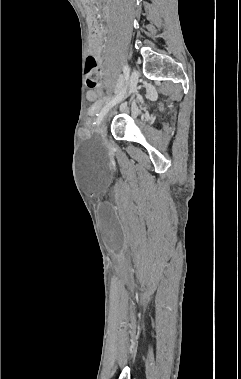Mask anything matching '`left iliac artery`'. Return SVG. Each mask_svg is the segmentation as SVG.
Returning <instances> with one entry per match:
<instances>
[{
	"instance_id": "left-iliac-artery-1",
	"label": "left iliac artery",
	"mask_w": 241,
	"mask_h": 379,
	"mask_svg": "<svg viewBox=\"0 0 241 379\" xmlns=\"http://www.w3.org/2000/svg\"><path fill=\"white\" fill-rule=\"evenodd\" d=\"M123 74H124V79L127 81L129 79V75H130V69L128 67V65H124L123 66ZM126 92V87H124V89L119 92L114 98H112L110 100V98H107V103L105 104V106L101 109L100 113L97 115V119H96V122L95 124L97 126L100 125L101 121L103 120L104 116L106 115V113L109 111V109L114 106L120 99L121 97L124 95V93Z\"/></svg>"
}]
</instances>
